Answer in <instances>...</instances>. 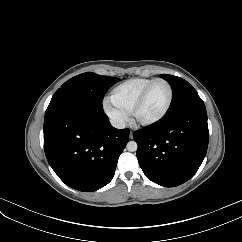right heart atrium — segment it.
Returning a JSON list of instances; mask_svg holds the SVG:
<instances>
[{
	"label": "right heart atrium",
	"mask_w": 242,
	"mask_h": 242,
	"mask_svg": "<svg viewBox=\"0 0 242 242\" xmlns=\"http://www.w3.org/2000/svg\"><path fill=\"white\" fill-rule=\"evenodd\" d=\"M103 108L110 120L117 126H122L128 119V113L114 105L108 99L103 102Z\"/></svg>",
	"instance_id": "d8ad5b80"
}]
</instances>
